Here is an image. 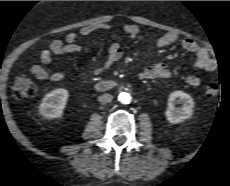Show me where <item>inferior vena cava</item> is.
<instances>
[{"mask_svg": "<svg viewBox=\"0 0 230 186\" xmlns=\"http://www.w3.org/2000/svg\"><path fill=\"white\" fill-rule=\"evenodd\" d=\"M112 98H113L112 95H110L108 93H105V94H103V95H101V96L98 97V101L100 103H108V102L112 101Z\"/></svg>", "mask_w": 230, "mask_h": 186, "instance_id": "602c4592", "label": "inferior vena cava"}]
</instances>
